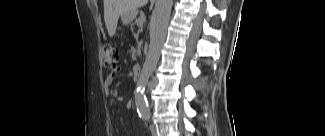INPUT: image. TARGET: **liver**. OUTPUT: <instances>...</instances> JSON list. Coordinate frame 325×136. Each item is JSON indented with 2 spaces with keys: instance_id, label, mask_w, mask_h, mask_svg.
<instances>
[{
  "instance_id": "6515ba94",
  "label": "liver",
  "mask_w": 325,
  "mask_h": 136,
  "mask_svg": "<svg viewBox=\"0 0 325 136\" xmlns=\"http://www.w3.org/2000/svg\"><path fill=\"white\" fill-rule=\"evenodd\" d=\"M148 0H104V20L110 37L116 33L119 16L136 12L137 8L145 5Z\"/></svg>"
}]
</instances>
